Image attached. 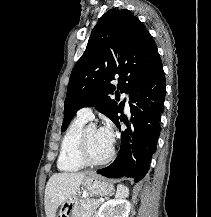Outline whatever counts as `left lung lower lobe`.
<instances>
[{"label": "left lung lower lobe", "instance_id": "1", "mask_svg": "<svg viewBox=\"0 0 211 217\" xmlns=\"http://www.w3.org/2000/svg\"><path fill=\"white\" fill-rule=\"evenodd\" d=\"M165 75L161 65L139 82L129 95L131 123L121 133V148L114 162L97 171L108 178L129 177L139 182L148 172L156 150L164 110ZM122 120V117H121ZM115 125L120 129L119 120Z\"/></svg>", "mask_w": 211, "mask_h": 217}]
</instances>
